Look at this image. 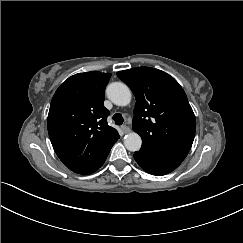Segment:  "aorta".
<instances>
[{"label": "aorta", "instance_id": "762f6f07", "mask_svg": "<svg viewBox=\"0 0 243 243\" xmlns=\"http://www.w3.org/2000/svg\"><path fill=\"white\" fill-rule=\"evenodd\" d=\"M107 97L117 106L126 107L131 103L132 93L128 86L122 82H114L106 89ZM142 139L134 131L127 133L124 137V145L129 151H138L141 147Z\"/></svg>", "mask_w": 243, "mask_h": 243}]
</instances>
